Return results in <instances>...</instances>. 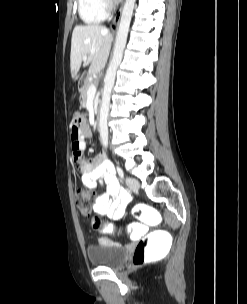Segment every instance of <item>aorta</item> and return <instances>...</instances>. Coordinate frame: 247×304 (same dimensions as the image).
Segmentation results:
<instances>
[{"instance_id": "1", "label": "aorta", "mask_w": 247, "mask_h": 304, "mask_svg": "<svg viewBox=\"0 0 247 304\" xmlns=\"http://www.w3.org/2000/svg\"><path fill=\"white\" fill-rule=\"evenodd\" d=\"M135 2L136 0L125 1L116 35L113 57L104 78V90L102 94L99 120L100 139L104 147H107L108 145L107 118L109 113L111 91L114 86L117 68L122 60Z\"/></svg>"}]
</instances>
